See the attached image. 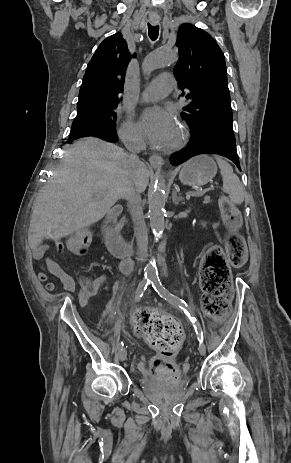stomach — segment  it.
<instances>
[{
    "instance_id": "0dacf381",
    "label": "stomach",
    "mask_w": 291,
    "mask_h": 463,
    "mask_svg": "<svg viewBox=\"0 0 291 463\" xmlns=\"http://www.w3.org/2000/svg\"><path fill=\"white\" fill-rule=\"evenodd\" d=\"M217 173L215 162L207 156H197L187 161L180 170V181L189 186H203Z\"/></svg>"
}]
</instances>
